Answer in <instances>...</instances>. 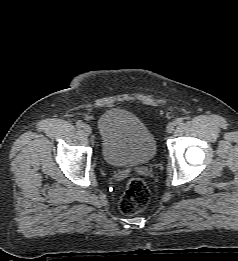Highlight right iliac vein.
Returning a JSON list of instances; mask_svg holds the SVG:
<instances>
[{
	"mask_svg": "<svg viewBox=\"0 0 238 261\" xmlns=\"http://www.w3.org/2000/svg\"><path fill=\"white\" fill-rule=\"evenodd\" d=\"M83 131L87 134V135H90L92 133V128L87 125V124H84L83 126Z\"/></svg>",
	"mask_w": 238,
	"mask_h": 261,
	"instance_id": "right-iliac-vein-1",
	"label": "right iliac vein"
}]
</instances>
